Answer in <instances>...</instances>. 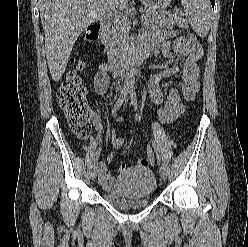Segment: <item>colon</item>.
Listing matches in <instances>:
<instances>
[{
    "label": "colon",
    "mask_w": 248,
    "mask_h": 247,
    "mask_svg": "<svg viewBox=\"0 0 248 247\" xmlns=\"http://www.w3.org/2000/svg\"><path fill=\"white\" fill-rule=\"evenodd\" d=\"M86 41L98 39L97 24L89 25L83 33ZM188 41L197 42L194 34L188 35ZM82 67V64H80ZM57 98L63 109L68 126L80 141L88 140L91 132L90 111L88 107L85 86L75 71H70L57 90ZM158 121L161 125L169 123V114L165 105L157 110ZM147 159L150 165L155 164L154 141L150 140L146 147Z\"/></svg>",
    "instance_id": "1"
}]
</instances>
